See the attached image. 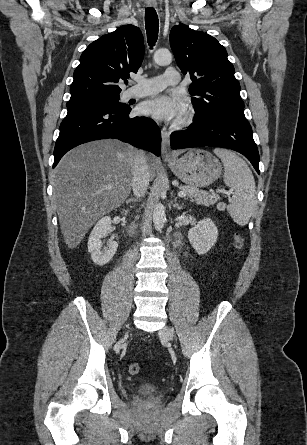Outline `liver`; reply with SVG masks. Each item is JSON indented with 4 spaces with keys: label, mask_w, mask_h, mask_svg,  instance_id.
Returning <instances> with one entry per match:
<instances>
[{
    "label": "liver",
    "mask_w": 307,
    "mask_h": 445,
    "mask_svg": "<svg viewBox=\"0 0 307 445\" xmlns=\"http://www.w3.org/2000/svg\"><path fill=\"white\" fill-rule=\"evenodd\" d=\"M136 152L127 142L105 138L80 144L61 158L53 174V196L68 249L80 245L96 220L129 196ZM146 162L152 178L159 160L147 156Z\"/></svg>",
    "instance_id": "liver-1"
}]
</instances>
